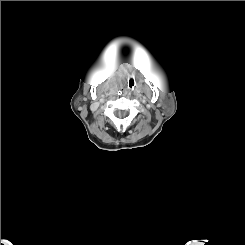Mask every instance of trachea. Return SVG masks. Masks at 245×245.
I'll list each match as a JSON object with an SVG mask.
<instances>
[{
    "label": "trachea",
    "mask_w": 245,
    "mask_h": 245,
    "mask_svg": "<svg viewBox=\"0 0 245 245\" xmlns=\"http://www.w3.org/2000/svg\"><path fill=\"white\" fill-rule=\"evenodd\" d=\"M135 81L133 79H129L128 83H127V87L130 89V90H133L135 88Z\"/></svg>",
    "instance_id": "trachea-1"
}]
</instances>
